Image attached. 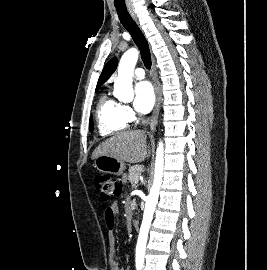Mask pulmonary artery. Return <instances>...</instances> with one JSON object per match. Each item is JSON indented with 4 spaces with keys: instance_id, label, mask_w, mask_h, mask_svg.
Here are the masks:
<instances>
[{
    "instance_id": "1",
    "label": "pulmonary artery",
    "mask_w": 267,
    "mask_h": 270,
    "mask_svg": "<svg viewBox=\"0 0 267 270\" xmlns=\"http://www.w3.org/2000/svg\"><path fill=\"white\" fill-rule=\"evenodd\" d=\"M134 77L139 80L143 79L145 77V71L143 68H136L134 71Z\"/></svg>"
}]
</instances>
